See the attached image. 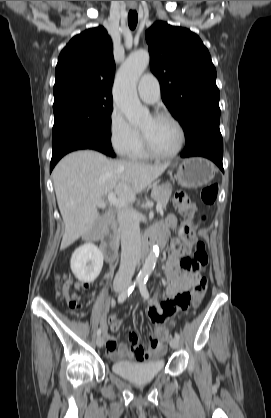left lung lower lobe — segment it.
<instances>
[{
	"label": "left lung lower lobe",
	"instance_id": "obj_1",
	"mask_svg": "<svg viewBox=\"0 0 271 418\" xmlns=\"http://www.w3.org/2000/svg\"><path fill=\"white\" fill-rule=\"evenodd\" d=\"M202 156L215 162L223 171V139L219 128L200 130L186 141L181 157Z\"/></svg>",
	"mask_w": 271,
	"mask_h": 418
}]
</instances>
